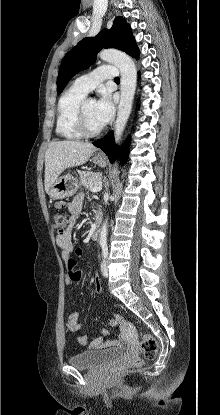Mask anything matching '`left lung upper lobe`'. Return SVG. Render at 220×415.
<instances>
[{"label": "left lung upper lobe", "mask_w": 220, "mask_h": 415, "mask_svg": "<svg viewBox=\"0 0 220 415\" xmlns=\"http://www.w3.org/2000/svg\"><path fill=\"white\" fill-rule=\"evenodd\" d=\"M102 48H116L136 59L140 53L130 26L123 17H117L110 30L84 38L65 55L57 79V93L63 91L75 74L93 64Z\"/></svg>", "instance_id": "obj_1"}]
</instances>
